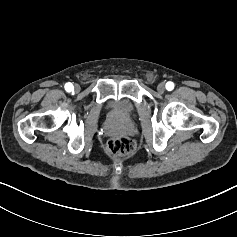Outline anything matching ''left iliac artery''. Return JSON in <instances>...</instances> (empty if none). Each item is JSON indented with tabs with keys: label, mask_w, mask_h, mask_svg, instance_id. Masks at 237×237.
<instances>
[{
	"label": "left iliac artery",
	"mask_w": 237,
	"mask_h": 237,
	"mask_svg": "<svg viewBox=\"0 0 237 237\" xmlns=\"http://www.w3.org/2000/svg\"><path fill=\"white\" fill-rule=\"evenodd\" d=\"M166 89L168 90V91H171V90H173L174 89V83L173 82H167L166 83Z\"/></svg>",
	"instance_id": "left-iliac-artery-1"
}]
</instances>
